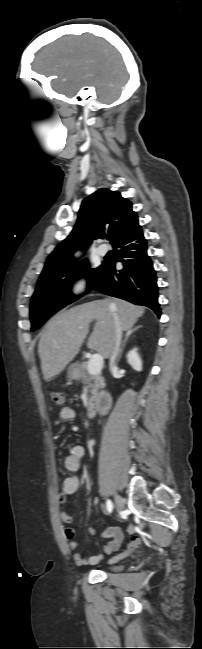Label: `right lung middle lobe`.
Masks as SVG:
<instances>
[{
  "label": "right lung middle lobe",
  "instance_id": "obj_1",
  "mask_svg": "<svg viewBox=\"0 0 202 649\" xmlns=\"http://www.w3.org/2000/svg\"><path fill=\"white\" fill-rule=\"evenodd\" d=\"M88 268V262L84 259L68 271L39 278L30 305L31 331L37 330L52 314L78 298L70 292L75 278L82 274L86 275L89 280L88 288L92 287L101 266L95 269Z\"/></svg>",
  "mask_w": 202,
  "mask_h": 649
}]
</instances>
